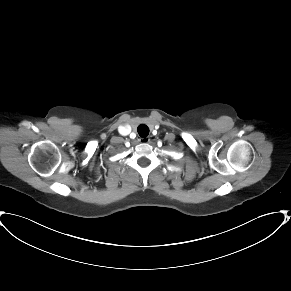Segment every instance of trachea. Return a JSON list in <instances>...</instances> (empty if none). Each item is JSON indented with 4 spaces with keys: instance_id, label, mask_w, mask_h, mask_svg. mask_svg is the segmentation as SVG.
Listing matches in <instances>:
<instances>
[{
    "instance_id": "1",
    "label": "trachea",
    "mask_w": 291,
    "mask_h": 291,
    "mask_svg": "<svg viewBox=\"0 0 291 291\" xmlns=\"http://www.w3.org/2000/svg\"><path fill=\"white\" fill-rule=\"evenodd\" d=\"M138 134L141 137L148 136V134H149V128L146 125H144V124L139 125L138 126Z\"/></svg>"
}]
</instances>
